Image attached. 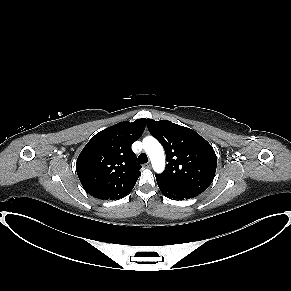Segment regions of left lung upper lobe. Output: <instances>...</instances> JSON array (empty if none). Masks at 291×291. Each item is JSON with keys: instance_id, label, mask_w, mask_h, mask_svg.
<instances>
[{"instance_id": "5c2ea615", "label": "left lung upper lobe", "mask_w": 291, "mask_h": 291, "mask_svg": "<svg viewBox=\"0 0 291 291\" xmlns=\"http://www.w3.org/2000/svg\"><path fill=\"white\" fill-rule=\"evenodd\" d=\"M147 127L163 145L168 162L165 171L156 176L184 191H205L216 172L213 147L194 130L168 120L147 119Z\"/></svg>"}]
</instances>
